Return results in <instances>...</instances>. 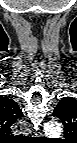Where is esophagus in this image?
<instances>
[{
  "label": "esophagus",
  "mask_w": 77,
  "mask_h": 143,
  "mask_svg": "<svg viewBox=\"0 0 77 143\" xmlns=\"http://www.w3.org/2000/svg\"><path fill=\"white\" fill-rule=\"evenodd\" d=\"M20 126H21V130L24 133L30 134V135L33 134V131L31 130L30 125L26 121L21 120Z\"/></svg>",
  "instance_id": "34e87169"
}]
</instances>
